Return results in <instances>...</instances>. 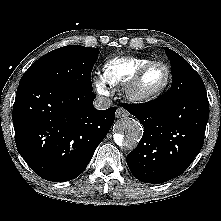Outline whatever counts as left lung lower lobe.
Masks as SVG:
<instances>
[{"label":"left lung lower lobe","mask_w":221,"mask_h":221,"mask_svg":"<svg viewBox=\"0 0 221 221\" xmlns=\"http://www.w3.org/2000/svg\"><path fill=\"white\" fill-rule=\"evenodd\" d=\"M123 107L144 126L142 139L126 158L132 174L153 184L181 175L203 146L209 118L207 94H189L176 101L158 98Z\"/></svg>","instance_id":"1"}]
</instances>
